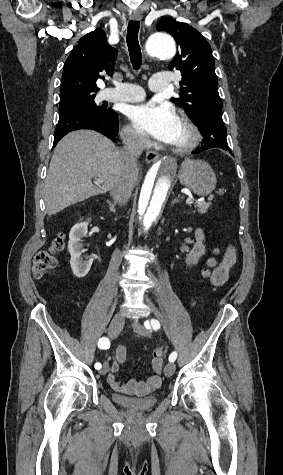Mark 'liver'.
Here are the masks:
<instances>
[{
  "label": "liver",
  "mask_w": 283,
  "mask_h": 475,
  "mask_svg": "<svg viewBox=\"0 0 283 475\" xmlns=\"http://www.w3.org/2000/svg\"><path fill=\"white\" fill-rule=\"evenodd\" d=\"M121 160L115 144L94 130H77L65 136L54 150L44 186L47 216L109 192Z\"/></svg>",
  "instance_id": "liver-1"
}]
</instances>
